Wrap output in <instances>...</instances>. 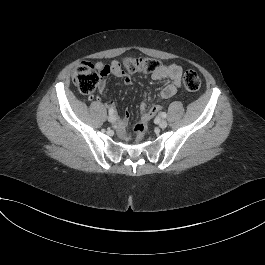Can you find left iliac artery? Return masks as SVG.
Here are the masks:
<instances>
[{
    "label": "left iliac artery",
    "instance_id": "1",
    "mask_svg": "<svg viewBox=\"0 0 265 265\" xmlns=\"http://www.w3.org/2000/svg\"><path fill=\"white\" fill-rule=\"evenodd\" d=\"M161 116H162L163 118H166V117H167V114H166L165 112H162Z\"/></svg>",
    "mask_w": 265,
    "mask_h": 265
}]
</instances>
